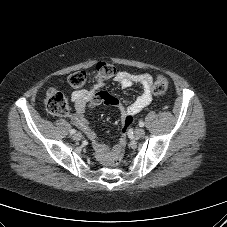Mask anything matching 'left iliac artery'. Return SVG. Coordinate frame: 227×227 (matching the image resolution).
Segmentation results:
<instances>
[{
	"instance_id": "obj_1",
	"label": "left iliac artery",
	"mask_w": 227,
	"mask_h": 227,
	"mask_svg": "<svg viewBox=\"0 0 227 227\" xmlns=\"http://www.w3.org/2000/svg\"><path fill=\"white\" fill-rule=\"evenodd\" d=\"M139 126H140V127H143V126H144V122H143V121H140V122H139Z\"/></svg>"
}]
</instances>
